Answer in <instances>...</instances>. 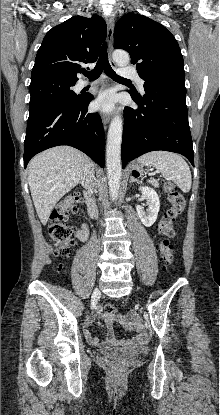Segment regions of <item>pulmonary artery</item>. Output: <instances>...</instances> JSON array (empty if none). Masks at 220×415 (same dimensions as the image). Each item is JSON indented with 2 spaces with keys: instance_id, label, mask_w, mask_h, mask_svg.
I'll list each match as a JSON object with an SVG mask.
<instances>
[{
  "instance_id": "e3ab8cb5",
  "label": "pulmonary artery",
  "mask_w": 220,
  "mask_h": 415,
  "mask_svg": "<svg viewBox=\"0 0 220 415\" xmlns=\"http://www.w3.org/2000/svg\"><path fill=\"white\" fill-rule=\"evenodd\" d=\"M118 73L120 76H122L123 78H132L135 79L138 83V86L141 90L144 89V80L142 78L139 77V75L137 74V72L130 68V67H122L119 68ZM99 81L98 80H94V81H81L79 83V88H83L86 87L88 85H94L97 84Z\"/></svg>"
}]
</instances>
